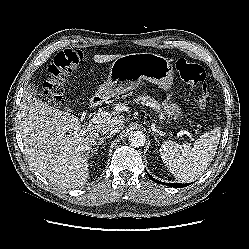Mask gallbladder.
I'll use <instances>...</instances> for the list:
<instances>
[{
  "label": "gallbladder",
  "instance_id": "1",
  "mask_svg": "<svg viewBox=\"0 0 249 249\" xmlns=\"http://www.w3.org/2000/svg\"><path fill=\"white\" fill-rule=\"evenodd\" d=\"M25 91H27L29 94L33 96H40L41 98L46 99L49 103L52 102L51 99H49L43 92L42 89L38 88L35 84H29L25 88Z\"/></svg>",
  "mask_w": 249,
  "mask_h": 249
}]
</instances>
